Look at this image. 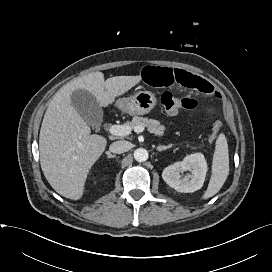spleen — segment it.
Wrapping results in <instances>:
<instances>
[{
  "instance_id": "1",
  "label": "spleen",
  "mask_w": 272,
  "mask_h": 272,
  "mask_svg": "<svg viewBox=\"0 0 272 272\" xmlns=\"http://www.w3.org/2000/svg\"><path fill=\"white\" fill-rule=\"evenodd\" d=\"M229 174V153L226 137L220 133L216 140L212 161V175L203 199H208L222 188Z\"/></svg>"
}]
</instances>
